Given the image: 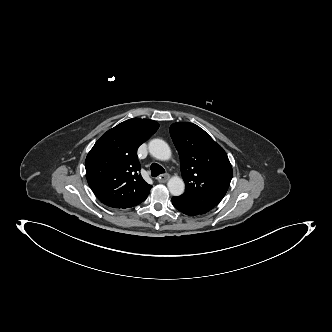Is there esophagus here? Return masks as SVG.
Masks as SVG:
<instances>
[{"instance_id":"esophagus-1","label":"esophagus","mask_w":332,"mask_h":332,"mask_svg":"<svg viewBox=\"0 0 332 332\" xmlns=\"http://www.w3.org/2000/svg\"><path fill=\"white\" fill-rule=\"evenodd\" d=\"M169 174H162V175H160L159 177H158V182H160V183H164V182H166L168 179H169Z\"/></svg>"}]
</instances>
